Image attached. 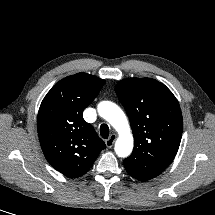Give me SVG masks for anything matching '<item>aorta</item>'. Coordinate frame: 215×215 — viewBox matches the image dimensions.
<instances>
[{"instance_id": "obj_1", "label": "aorta", "mask_w": 215, "mask_h": 215, "mask_svg": "<svg viewBox=\"0 0 215 215\" xmlns=\"http://www.w3.org/2000/svg\"><path fill=\"white\" fill-rule=\"evenodd\" d=\"M99 115L108 121L118 132L115 152L119 157H127L133 149V136L129 123L121 108L113 102L102 101L98 104Z\"/></svg>"}]
</instances>
